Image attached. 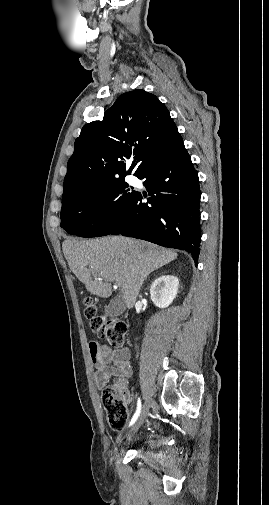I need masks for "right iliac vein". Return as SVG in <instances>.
<instances>
[{
	"mask_svg": "<svg viewBox=\"0 0 269 505\" xmlns=\"http://www.w3.org/2000/svg\"><path fill=\"white\" fill-rule=\"evenodd\" d=\"M151 404H152L151 398H149V397L146 398L144 405L142 407L141 414L139 415V418L137 419V421L135 422V424L133 425V427L131 428V430L129 432V435H128L129 440L138 431V429L144 424L146 417L148 415L149 409L151 407Z\"/></svg>",
	"mask_w": 269,
	"mask_h": 505,
	"instance_id": "63e3f726",
	"label": "right iliac vein"
}]
</instances>
